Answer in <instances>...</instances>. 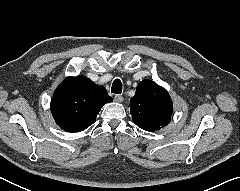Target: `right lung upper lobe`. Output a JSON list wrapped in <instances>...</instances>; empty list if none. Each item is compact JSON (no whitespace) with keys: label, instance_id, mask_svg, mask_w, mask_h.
Here are the masks:
<instances>
[{"label":"right lung upper lobe","instance_id":"1","mask_svg":"<svg viewBox=\"0 0 240 191\" xmlns=\"http://www.w3.org/2000/svg\"><path fill=\"white\" fill-rule=\"evenodd\" d=\"M112 102L106 89L85 76L67 77L55 90L51 112L67 132H80L92 125L104 104Z\"/></svg>","mask_w":240,"mask_h":191}]
</instances>
